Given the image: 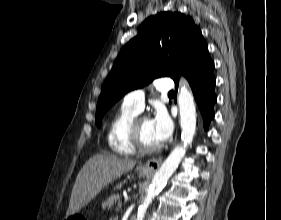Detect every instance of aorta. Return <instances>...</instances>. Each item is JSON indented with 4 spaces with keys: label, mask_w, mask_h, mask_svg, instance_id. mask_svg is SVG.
Returning a JSON list of instances; mask_svg holds the SVG:
<instances>
[{
    "label": "aorta",
    "mask_w": 281,
    "mask_h": 220,
    "mask_svg": "<svg viewBox=\"0 0 281 220\" xmlns=\"http://www.w3.org/2000/svg\"><path fill=\"white\" fill-rule=\"evenodd\" d=\"M177 100L180 113V125L182 129L181 138L183 145L177 146L172 150L154 175L146 197L138 209L136 220L144 219L148 206L152 203V200L162 190L168 179L177 169L182 158L185 156L187 146L192 142L195 135L196 109L192 92L186 87H180Z\"/></svg>",
    "instance_id": "762f6f07"
}]
</instances>
